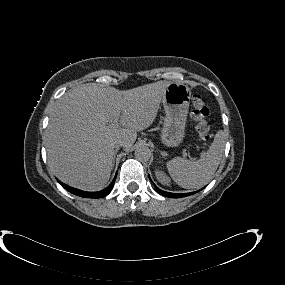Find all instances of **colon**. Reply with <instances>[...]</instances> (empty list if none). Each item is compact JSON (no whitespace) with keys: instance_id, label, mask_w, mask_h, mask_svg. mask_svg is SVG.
<instances>
[{"instance_id":"obj_1","label":"colon","mask_w":285,"mask_h":285,"mask_svg":"<svg viewBox=\"0 0 285 285\" xmlns=\"http://www.w3.org/2000/svg\"><path fill=\"white\" fill-rule=\"evenodd\" d=\"M209 110L200 95H194L191 100V116L196 122V132L202 141L210 138Z\"/></svg>"}]
</instances>
